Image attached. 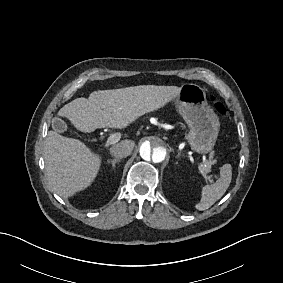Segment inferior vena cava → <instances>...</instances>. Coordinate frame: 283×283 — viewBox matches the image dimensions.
<instances>
[{"mask_svg":"<svg viewBox=\"0 0 283 283\" xmlns=\"http://www.w3.org/2000/svg\"><path fill=\"white\" fill-rule=\"evenodd\" d=\"M133 149H134L133 142L124 140L113 146L110 149V153L111 155L117 157L118 159H121L123 157L129 156Z\"/></svg>","mask_w":283,"mask_h":283,"instance_id":"602c4592","label":"inferior vena cava"}]
</instances>
